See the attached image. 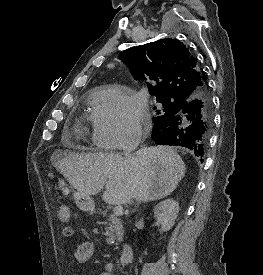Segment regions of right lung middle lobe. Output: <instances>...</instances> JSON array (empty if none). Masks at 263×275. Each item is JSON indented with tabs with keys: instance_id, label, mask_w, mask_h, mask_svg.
Here are the masks:
<instances>
[{
	"instance_id": "obj_1",
	"label": "right lung middle lobe",
	"mask_w": 263,
	"mask_h": 275,
	"mask_svg": "<svg viewBox=\"0 0 263 275\" xmlns=\"http://www.w3.org/2000/svg\"><path fill=\"white\" fill-rule=\"evenodd\" d=\"M157 101L162 105V108L156 110V117L153 122L157 123L165 118L175 114L180 108V101L171 98H157ZM156 109V107H154Z\"/></svg>"
}]
</instances>
